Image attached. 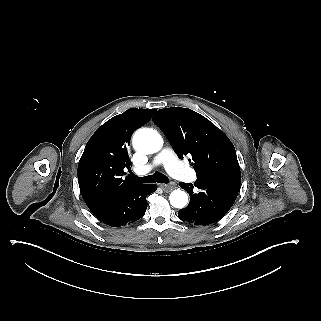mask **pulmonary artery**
I'll use <instances>...</instances> for the list:
<instances>
[{
  "label": "pulmonary artery",
  "mask_w": 321,
  "mask_h": 321,
  "mask_svg": "<svg viewBox=\"0 0 321 321\" xmlns=\"http://www.w3.org/2000/svg\"><path fill=\"white\" fill-rule=\"evenodd\" d=\"M167 151V148L159 149L157 155L154 157L153 162L145 166V172L150 171L153 167L159 165L162 162V158ZM165 164L171 172V176L174 179L183 181H192L195 178V171L192 168H185L181 166L177 157L169 155L165 159Z\"/></svg>",
  "instance_id": "e3ab8cb5"
}]
</instances>
